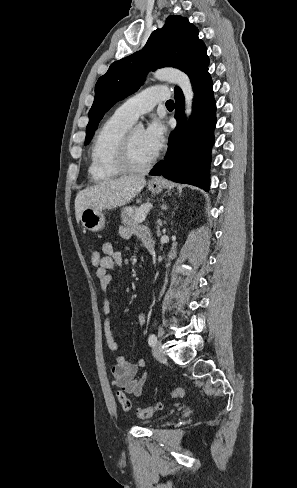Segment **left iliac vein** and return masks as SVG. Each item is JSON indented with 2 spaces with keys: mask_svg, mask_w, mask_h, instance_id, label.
<instances>
[{
  "mask_svg": "<svg viewBox=\"0 0 297 488\" xmlns=\"http://www.w3.org/2000/svg\"><path fill=\"white\" fill-rule=\"evenodd\" d=\"M152 353H153V356L158 360V361H161V362H164L167 360L166 358V354L164 353V350L162 348V344L160 341H157L155 343V345L153 346L152 348Z\"/></svg>",
  "mask_w": 297,
  "mask_h": 488,
  "instance_id": "obj_1",
  "label": "left iliac vein"
}]
</instances>
